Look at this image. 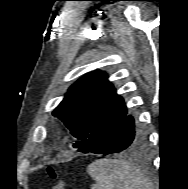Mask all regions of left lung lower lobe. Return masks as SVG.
Listing matches in <instances>:
<instances>
[{
	"label": "left lung lower lobe",
	"mask_w": 188,
	"mask_h": 189,
	"mask_svg": "<svg viewBox=\"0 0 188 189\" xmlns=\"http://www.w3.org/2000/svg\"><path fill=\"white\" fill-rule=\"evenodd\" d=\"M145 141V135L135 130L134 119L126 115L96 146L89 152L112 154L136 148Z\"/></svg>",
	"instance_id": "0a47b994"
}]
</instances>
